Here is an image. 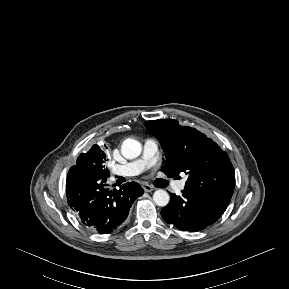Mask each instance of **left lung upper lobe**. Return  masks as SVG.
<instances>
[{
    "mask_svg": "<svg viewBox=\"0 0 289 289\" xmlns=\"http://www.w3.org/2000/svg\"><path fill=\"white\" fill-rule=\"evenodd\" d=\"M144 125L162 145L167 160L161 170L168 177L185 172V188L229 204L235 172L225 151L205 134L182 127L177 120H152Z\"/></svg>",
    "mask_w": 289,
    "mask_h": 289,
    "instance_id": "1",
    "label": "left lung upper lobe"
}]
</instances>
